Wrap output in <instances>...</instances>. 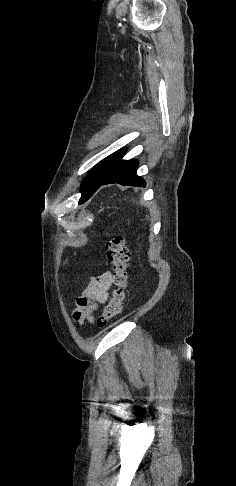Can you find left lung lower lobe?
Returning <instances> with one entry per match:
<instances>
[{
	"label": "left lung lower lobe",
	"instance_id": "1",
	"mask_svg": "<svg viewBox=\"0 0 236 486\" xmlns=\"http://www.w3.org/2000/svg\"><path fill=\"white\" fill-rule=\"evenodd\" d=\"M138 162L135 160H119V162L110 171L107 177L99 184L120 183L128 186H144L145 181L137 176Z\"/></svg>",
	"mask_w": 236,
	"mask_h": 486
}]
</instances>
